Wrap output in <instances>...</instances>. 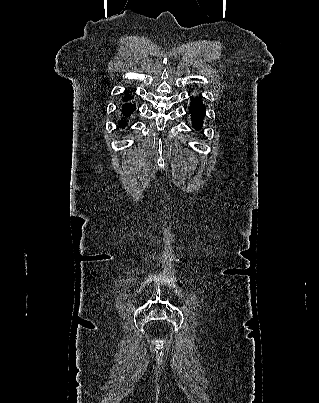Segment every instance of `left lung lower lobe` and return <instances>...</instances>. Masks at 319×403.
Here are the masks:
<instances>
[{"label": "left lung lower lobe", "instance_id": "obj_1", "mask_svg": "<svg viewBox=\"0 0 319 403\" xmlns=\"http://www.w3.org/2000/svg\"><path fill=\"white\" fill-rule=\"evenodd\" d=\"M189 113L191 114L193 127L195 129H200L206 114V109L199 97L192 99L189 107Z\"/></svg>", "mask_w": 319, "mask_h": 403}]
</instances>
